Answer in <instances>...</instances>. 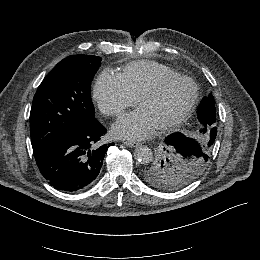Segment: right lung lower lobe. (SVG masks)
Instances as JSON below:
<instances>
[{
	"instance_id": "98d812e1",
	"label": "right lung lower lobe",
	"mask_w": 260,
	"mask_h": 260,
	"mask_svg": "<svg viewBox=\"0 0 260 260\" xmlns=\"http://www.w3.org/2000/svg\"><path fill=\"white\" fill-rule=\"evenodd\" d=\"M105 133L104 126L95 119L80 133L34 152L41 174L58 190L78 192L86 189L95 182L107 149L114 145L99 143Z\"/></svg>"
}]
</instances>
